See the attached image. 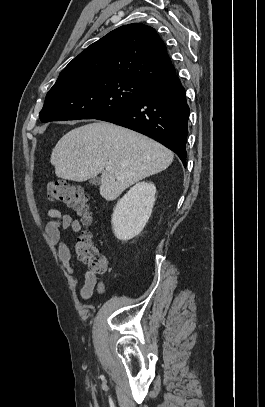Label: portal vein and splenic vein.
Instances as JSON below:
<instances>
[{
    "label": "portal vein and splenic vein",
    "mask_w": 265,
    "mask_h": 407,
    "mask_svg": "<svg viewBox=\"0 0 265 407\" xmlns=\"http://www.w3.org/2000/svg\"><path fill=\"white\" fill-rule=\"evenodd\" d=\"M106 170H107V171L111 170V167H110V166H107V167H106Z\"/></svg>",
    "instance_id": "18ae733b"
}]
</instances>
